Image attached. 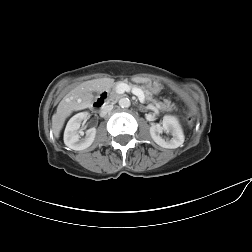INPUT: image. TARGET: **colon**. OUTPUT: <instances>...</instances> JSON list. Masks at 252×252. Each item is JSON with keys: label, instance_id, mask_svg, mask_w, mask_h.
I'll use <instances>...</instances> for the list:
<instances>
[{"label": "colon", "instance_id": "colon-1", "mask_svg": "<svg viewBox=\"0 0 252 252\" xmlns=\"http://www.w3.org/2000/svg\"><path fill=\"white\" fill-rule=\"evenodd\" d=\"M192 121H193V119L191 118V119H190V122H192Z\"/></svg>", "mask_w": 252, "mask_h": 252}]
</instances>
